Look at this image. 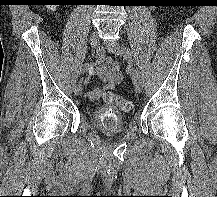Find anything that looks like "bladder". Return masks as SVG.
<instances>
[{
  "label": "bladder",
  "mask_w": 217,
  "mask_h": 197,
  "mask_svg": "<svg viewBox=\"0 0 217 197\" xmlns=\"http://www.w3.org/2000/svg\"><path fill=\"white\" fill-rule=\"evenodd\" d=\"M92 119L95 125L104 133H121L126 129L124 116L118 111L109 112L106 108H99L94 111Z\"/></svg>",
  "instance_id": "31cf9c89"
}]
</instances>
